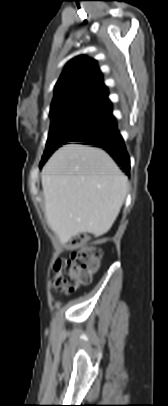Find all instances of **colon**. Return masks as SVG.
Wrapping results in <instances>:
<instances>
[{"instance_id": "1", "label": "colon", "mask_w": 168, "mask_h": 406, "mask_svg": "<svg viewBox=\"0 0 168 406\" xmlns=\"http://www.w3.org/2000/svg\"><path fill=\"white\" fill-rule=\"evenodd\" d=\"M69 246L70 258L58 260L54 267L51 288L56 292H71L89 284L99 265L101 250L88 245L84 235L73 236Z\"/></svg>"}]
</instances>
